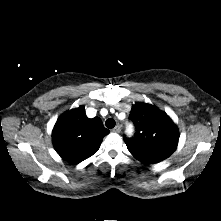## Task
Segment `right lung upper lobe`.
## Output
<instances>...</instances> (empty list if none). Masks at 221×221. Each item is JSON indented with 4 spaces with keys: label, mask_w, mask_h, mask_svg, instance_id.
Wrapping results in <instances>:
<instances>
[{
    "label": "right lung upper lobe",
    "mask_w": 221,
    "mask_h": 221,
    "mask_svg": "<svg viewBox=\"0 0 221 221\" xmlns=\"http://www.w3.org/2000/svg\"><path fill=\"white\" fill-rule=\"evenodd\" d=\"M109 132L100 118H88L80 106L59 117L52 133L53 145L64 160L78 164L97 152Z\"/></svg>",
    "instance_id": "right-lung-upper-lobe-1"
}]
</instances>
